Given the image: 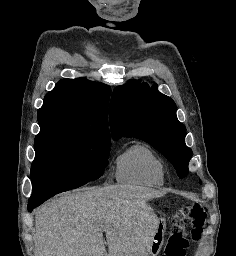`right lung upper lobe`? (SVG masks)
<instances>
[{"label": "right lung upper lobe", "mask_w": 236, "mask_h": 256, "mask_svg": "<svg viewBox=\"0 0 236 256\" xmlns=\"http://www.w3.org/2000/svg\"><path fill=\"white\" fill-rule=\"evenodd\" d=\"M110 87L85 78L62 79L38 110L40 128L67 127L109 137L107 107Z\"/></svg>", "instance_id": "obj_1"}]
</instances>
